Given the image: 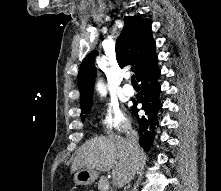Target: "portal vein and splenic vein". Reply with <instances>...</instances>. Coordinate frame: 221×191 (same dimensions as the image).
Segmentation results:
<instances>
[{
    "instance_id": "portal-vein-and-splenic-vein-1",
    "label": "portal vein and splenic vein",
    "mask_w": 221,
    "mask_h": 191,
    "mask_svg": "<svg viewBox=\"0 0 221 191\" xmlns=\"http://www.w3.org/2000/svg\"><path fill=\"white\" fill-rule=\"evenodd\" d=\"M105 188H106V189H107V188H109V184H108V185H106V187H105Z\"/></svg>"
}]
</instances>
